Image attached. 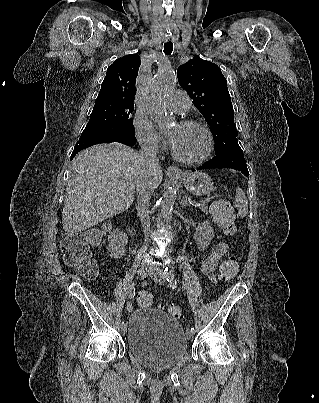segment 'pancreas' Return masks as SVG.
I'll use <instances>...</instances> for the list:
<instances>
[{
    "label": "pancreas",
    "instance_id": "pancreas-1",
    "mask_svg": "<svg viewBox=\"0 0 319 403\" xmlns=\"http://www.w3.org/2000/svg\"><path fill=\"white\" fill-rule=\"evenodd\" d=\"M199 208L203 213H205V214L208 213V205L206 203L200 205Z\"/></svg>",
    "mask_w": 319,
    "mask_h": 403
}]
</instances>
